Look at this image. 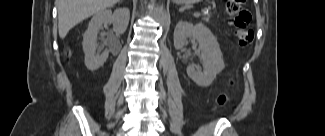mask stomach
I'll return each mask as SVG.
<instances>
[{
    "mask_svg": "<svg viewBox=\"0 0 325 136\" xmlns=\"http://www.w3.org/2000/svg\"><path fill=\"white\" fill-rule=\"evenodd\" d=\"M175 2L180 4H191L197 2V0H175Z\"/></svg>",
    "mask_w": 325,
    "mask_h": 136,
    "instance_id": "1",
    "label": "stomach"
}]
</instances>
